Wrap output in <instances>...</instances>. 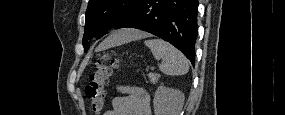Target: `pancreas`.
<instances>
[{
    "label": "pancreas",
    "mask_w": 285,
    "mask_h": 115,
    "mask_svg": "<svg viewBox=\"0 0 285 115\" xmlns=\"http://www.w3.org/2000/svg\"><path fill=\"white\" fill-rule=\"evenodd\" d=\"M148 77H149V81H150L151 83L155 84V83L158 81L160 75H159V74H156V73H149V74H148Z\"/></svg>",
    "instance_id": "cf45deb5"
}]
</instances>
